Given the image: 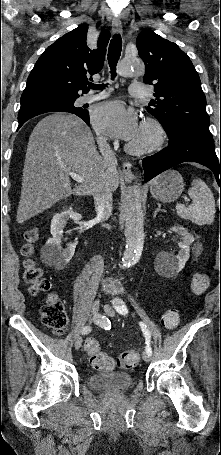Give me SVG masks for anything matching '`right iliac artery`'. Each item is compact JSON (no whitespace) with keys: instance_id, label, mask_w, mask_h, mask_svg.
Returning a JSON list of instances; mask_svg holds the SVG:
<instances>
[{"instance_id":"right-iliac-artery-1","label":"right iliac artery","mask_w":221,"mask_h":455,"mask_svg":"<svg viewBox=\"0 0 221 455\" xmlns=\"http://www.w3.org/2000/svg\"><path fill=\"white\" fill-rule=\"evenodd\" d=\"M94 322L98 325L101 326L102 329H104L106 332H109L110 334H113L114 333V330L111 329L110 325H109V320L104 318V316L102 315H95L94 316ZM91 331V327L90 326H85L83 327L82 329V334H88L89 332Z\"/></svg>"}]
</instances>
